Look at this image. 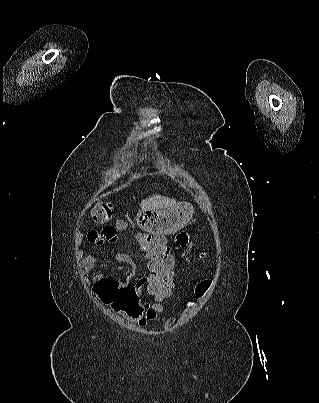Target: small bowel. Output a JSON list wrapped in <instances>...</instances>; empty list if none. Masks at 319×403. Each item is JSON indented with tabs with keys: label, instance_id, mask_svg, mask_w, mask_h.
Instances as JSON below:
<instances>
[{
	"label": "small bowel",
	"instance_id": "small-bowel-1",
	"mask_svg": "<svg viewBox=\"0 0 319 403\" xmlns=\"http://www.w3.org/2000/svg\"><path fill=\"white\" fill-rule=\"evenodd\" d=\"M125 230L124 223L102 224L101 229L87 230L85 237L88 239V245L93 248L106 249L110 254H120L121 246L117 245V238H121ZM191 242L192 237L185 230L176 232L172 238L174 247L179 250L188 248ZM164 252H167L166 249ZM120 259L131 263L126 256H121ZM95 267L94 255H86L79 262V271L83 276H87ZM129 280L134 281L135 284L126 283L125 279L104 278L103 274H95L91 279V296L99 305H103L104 309H112L113 315H120L121 319H128L130 316L132 321L144 327L149 322L157 320L163 311V304H153L152 300L143 303L137 295L139 290L146 289V282H149L147 277L137 278L136 273H133Z\"/></svg>",
	"mask_w": 319,
	"mask_h": 403
}]
</instances>
